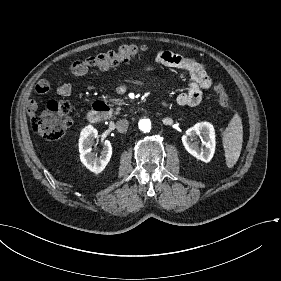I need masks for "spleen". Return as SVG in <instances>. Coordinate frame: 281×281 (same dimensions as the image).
Here are the masks:
<instances>
[{
    "label": "spleen",
    "instance_id": "3e777b00",
    "mask_svg": "<svg viewBox=\"0 0 281 281\" xmlns=\"http://www.w3.org/2000/svg\"><path fill=\"white\" fill-rule=\"evenodd\" d=\"M243 145V124L237 111H234L233 117L228 126L222 132V146L225 156L226 167L233 168L242 151Z\"/></svg>",
    "mask_w": 281,
    "mask_h": 281
}]
</instances>
